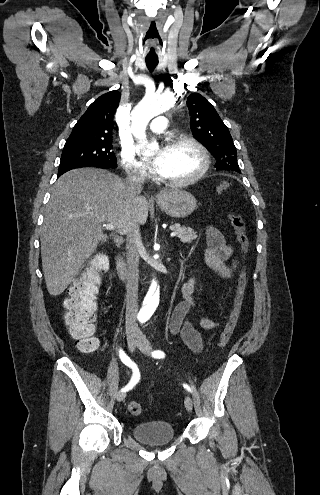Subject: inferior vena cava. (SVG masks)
<instances>
[{"instance_id": "inferior-vena-cava-1", "label": "inferior vena cava", "mask_w": 320, "mask_h": 495, "mask_svg": "<svg viewBox=\"0 0 320 495\" xmlns=\"http://www.w3.org/2000/svg\"><path fill=\"white\" fill-rule=\"evenodd\" d=\"M144 176L134 170L125 179V186L131 198L138 196L142 190ZM141 243L139 225L134 222L127 233V295H126V329L139 332L136 321L138 312V247Z\"/></svg>"}]
</instances>
